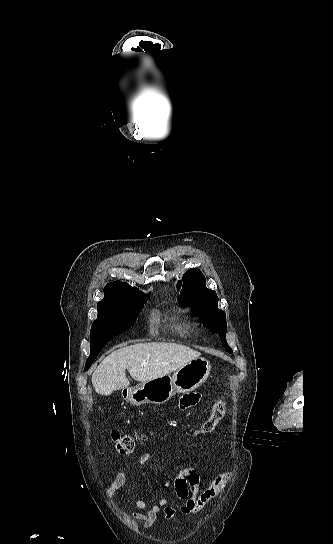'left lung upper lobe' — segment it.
Instances as JSON below:
<instances>
[{"label": "left lung upper lobe", "mask_w": 333, "mask_h": 544, "mask_svg": "<svg viewBox=\"0 0 333 544\" xmlns=\"http://www.w3.org/2000/svg\"><path fill=\"white\" fill-rule=\"evenodd\" d=\"M180 287L181 282L178 283L177 289L179 290ZM178 300L198 310L201 317L200 322L211 327V331L217 333L222 339L225 349L229 353L232 352L225 338L227 329L226 315L224 311L218 309L216 292L206 288L205 277L199 269H189L184 274L183 288Z\"/></svg>", "instance_id": "left-lung-upper-lobe-1"}]
</instances>
